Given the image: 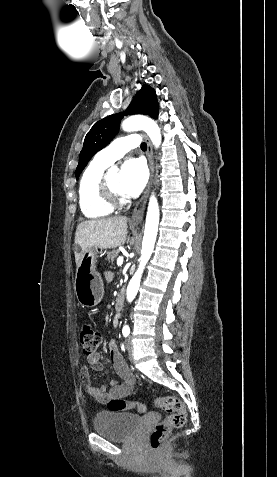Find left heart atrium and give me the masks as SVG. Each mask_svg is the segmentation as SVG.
Listing matches in <instances>:
<instances>
[{"instance_id":"1","label":"left heart atrium","mask_w":277,"mask_h":477,"mask_svg":"<svg viewBox=\"0 0 277 477\" xmlns=\"http://www.w3.org/2000/svg\"><path fill=\"white\" fill-rule=\"evenodd\" d=\"M148 179L147 168L142 160L125 161L120 171V192L125 196H137Z\"/></svg>"}]
</instances>
